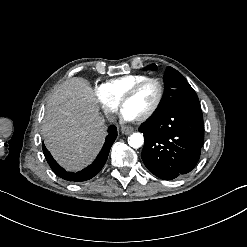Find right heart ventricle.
Masks as SVG:
<instances>
[{
	"label": "right heart ventricle",
	"mask_w": 247,
	"mask_h": 247,
	"mask_svg": "<svg viewBox=\"0 0 247 247\" xmlns=\"http://www.w3.org/2000/svg\"><path fill=\"white\" fill-rule=\"evenodd\" d=\"M146 77L147 76L145 75L123 76L108 81L105 85H103V87L106 88L110 100L115 103H118L120 99L126 93H128L135 84L145 79Z\"/></svg>",
	"instance_id": "right-heart-ventricle-1"
}]
</instances>
